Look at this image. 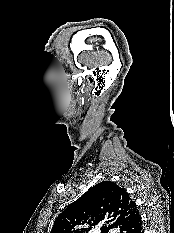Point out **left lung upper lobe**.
Returning a JSON list of instances; mask_svg holds the SVG:
<instances>
[{
  "label": "left lung upper lobe",
  "mask_w": 174,
  "mask_h": 233,
  "mask_svg": "<svg viewBox=\"0 0 174 233\" xmlns=\"http://www.w3.org/2000/svg\"><path fill=\"white\" fill-rule=\"evenodd\" d=\"M138 213L136 204L125 189L114 182L103 181L91 187L71 203L54 221L51 233H101L119 229Z\"/></svg>",
  "instance_id": "left-lung-upper-lobe-1"
}]
</instances>
